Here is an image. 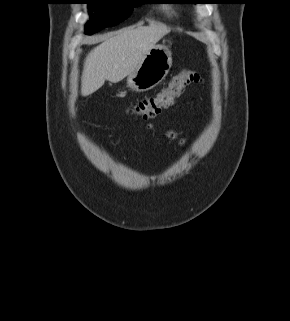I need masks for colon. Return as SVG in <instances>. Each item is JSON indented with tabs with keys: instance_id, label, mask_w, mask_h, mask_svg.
<instances>
[{
	"instance_id": "obj_1",
	"label": "colon",
	"mask_w": 290,
	"mask_h": 321,
	"mask_svg": "<svg viewBox=\"0 0 290 321\" xmlns=\"http://www.w3.org/2000/svg\"><path fill=\"white\" fill-rule=\"evenodd\" d=\"M201 82L202 78L199 73L186 69L177 75L165 89L153 97L139 101L129 109V112L143 119L153 118L159 115L163 109L175 104L188 85Z\"/></svg>"
}]
</instances>
